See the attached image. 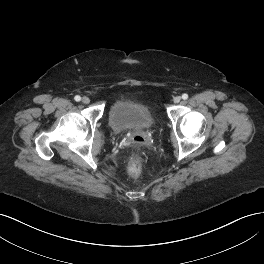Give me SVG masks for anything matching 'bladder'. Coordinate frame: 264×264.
<instances>
[{
    "label": "bladder",
    "instance_id": "31cf9c89",
    "mask_svg": "<svg viewBox=\"0 0 264 264\" xmlns=\"http://www.w3.org/2000/svg\"><path fill=\"white\" fill-rule=\"evenodd\" d=\"M108 122L114 132L120 133L130 129H149L154 119L147 106L130 99H119L109 107Z\"/></svg>",
    "mask_w": 264,
    "mask_h": 264
}]
</instances>
